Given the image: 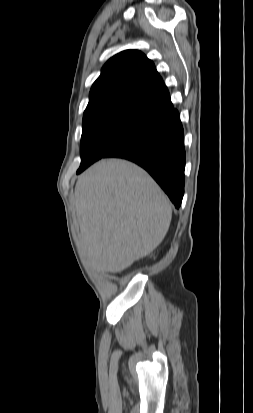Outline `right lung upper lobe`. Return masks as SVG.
Wrapping results in <instances>:
<instances>
[{"mask_svg": "<svg viewBox=\"0 0 253 413\" xmlns=\"http://www.w3.org/2000/svg\"><path fill=\"white\" fill-rule=\"evenodd\" d=\"M109 109H130L158 118L174 109L153 62L140 51L125 50L109 59L92 85L84 116Z\"/></svg>", "mask_w": 253, "mask_h": 413, "instance_id": "cb5924a9", "label": "right lung upper lobe"}]
</instances>
